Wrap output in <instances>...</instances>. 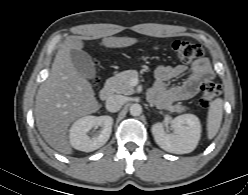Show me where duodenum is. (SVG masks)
Masks as SVG:
<instances>
[{"mask_svg": "<svg viewBox=\"0 0 248 195\" xmlns=\"http://www.w3.org/2000/svg\"><path fill=\"white\" fill-rule=\"evenodd\" d=\"M114 94V84L112 80H108L100 90V98L107 101L112 98Z\"/></svg>", "mask_w": 248, "mask_h": 195, "instance_id": "410a0bca", "label": "duodenum"}]
</instances>
